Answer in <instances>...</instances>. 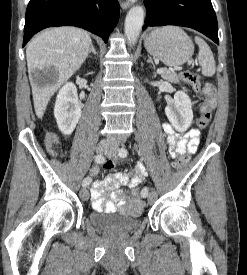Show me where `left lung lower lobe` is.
I'll return each mask as SVG.
<instances>
[{"label": "left lung lower lobe", "instance_id": "left-lung-lower-lobe-1", "mask_svg": "<svg viewBox=\"0 0 247 275\" xmlns=\"http://www.w3.org/2000/svg\"><path fill=\"white\" fill-rule=\"evenodd\" d=\"M146 24L193 28L219 43L218 24L211 0H145Z\"/></svg>", "mask_w": 247, "mask_h": 275}]
</instances>
